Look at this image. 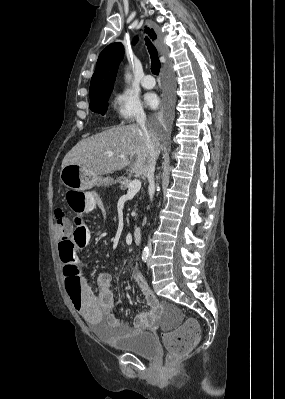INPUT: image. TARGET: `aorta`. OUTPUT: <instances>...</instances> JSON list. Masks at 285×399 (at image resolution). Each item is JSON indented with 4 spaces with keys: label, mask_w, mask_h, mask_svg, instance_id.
Masks as SVG:
<instances>
[{
    "label": "aorta",
    "mask_w": 285,
    "mask_h": 399,
    "mask_svg": "<svg viewBox=\"0 0 285 399\" xmlns=\"http://www.w3.org/2000/svg\"><path fill=\"white\" fill-rule=\"evenodd\" d=\"M131 75L129 73L126 74V80H130Z\"/></svg>",
    "instance_id": "obj_1"
}]
</instances>
